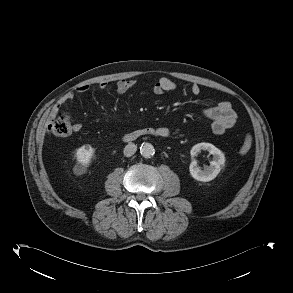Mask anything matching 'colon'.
Masks as SVG:
<instances>
[{
	"label": "colon",
	"mask_w": 293,
	"mask_h": 293,
	"mask_svg": "<svg viewBox=\"0 0 293 293\" xmlns=\"http://www.w3.org/2000/svg\"><path fill=\"white\" fill-rule=\"evenodd\" d=\"M71 124L67 112L56 113L49 125V132L56 136H66L71 133ZM252 147V137L246 135L244 141L239 149L241 155L247 154Z\"/></svg>",
	"instance_id": "1"
}]
</instances>
